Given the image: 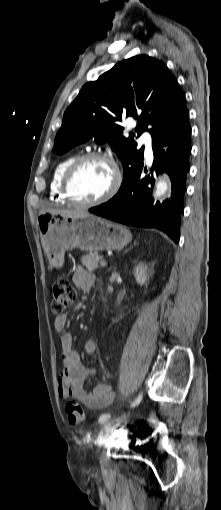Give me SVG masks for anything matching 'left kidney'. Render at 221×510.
<instances>
[{"label": "left kidney", "instance_id": "obj_1", "mask_svg": "<svg viewBox=\"0 0 221 510\" xmlns=\"http://www.w3.org/2000/svg\"><path fill=\"white\" fill-rule=\"evenodd\" d=\"M134 276L139 285H144L147 281V265L139 263L134 269Z\"/></svg>", "mask_w": 221, "mask_h": 510}]
</instances>
